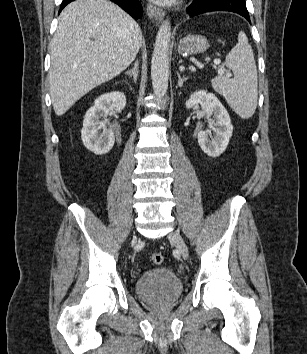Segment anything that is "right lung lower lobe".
Instances as JSON below:
<instances>
[{
  "instance_id": "right-lung-lower-lobe-1",
  "label": "right lung lower lobe",
  "mask_w": 307,
  "mask_h": 354,
  "mask_svg": "<svg viewBox=\"0 0 307 354\" xmlns=\"http://www.w3.org/2000/svg\"><path fill=\"white\" fill-rule=\"evenodd\" d=\"M74 0H63L60 11ZM118 4L122 9L129 13L133 18L138 19L142 16V5L139 0H111Z\"/></svg>"
}]
</instances>
